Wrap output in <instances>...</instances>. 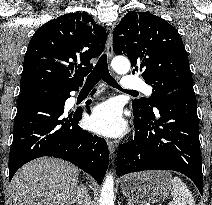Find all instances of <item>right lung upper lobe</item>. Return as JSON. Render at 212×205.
<instances>
[{
  "label": "right lung upper lobe",
  "mask_w": 212,
  "mask_h": 205,
  "mask_svg": "<svg viewBox=\"0 0 212 205\" xmlns=\"http://www.w3.org/2000/svg\"><path fill=\"white\" fill-rule=\"evenodd\" d=\"M106 31L86 13H70L41 26L24 57L20 91L42 85L81 86L99 56Z\"/></svg>",
  "instance_id": "1"
}]
</instances>
